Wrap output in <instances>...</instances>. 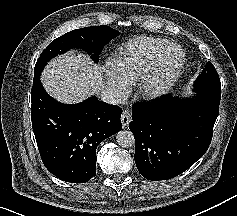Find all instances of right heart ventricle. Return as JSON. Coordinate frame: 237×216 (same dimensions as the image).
I'll use <instances>...</instances> for the list:
<instances>
[{
    "label": "right heart ventricle",
    "instance_id": "right-heart-ventricle-1",
    "mask_svg": "<svg viewBox=\"0 0 237 216\" xmlns=\"http://www.w3.org/2000/svg\"><path fill=\"white\" fill-rule=\"evenodd\" d=\"M167 43L166 39L159 37L134 38L123 46L114 48L108 54V67L118 74L119 82L136 84L143 70L154 63L155 54Z\"/></svg>",
    "mask_w": 237,
    "mask_h": 216
}]
</instances>
